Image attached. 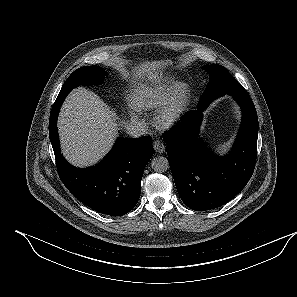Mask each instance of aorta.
I'll return each instance as SVG.
<instances>
[{
  "label": "aorta",
  "mask_w": 297,
  "mask_h": 297,
  "mask_svg": "<svg viewBox=\"0 0 297 297\" xmlns=\"http://www.w3.org/2000/svg\"><path fill=\"white\" fill-rule=\"evenodd\" d=\"M151 168L155 172L162 173L169 169V162L166 157H163V156L154 157L151 161Z\"/></svg>",
  "instance_id": "762f6f07"
}]
</instances>
